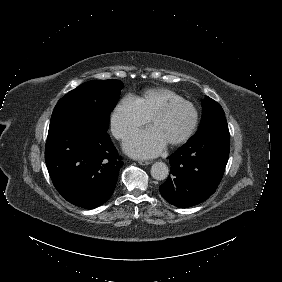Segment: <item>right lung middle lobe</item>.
Instances as JSON below:
<instances>
[{
	"instance_id": "1",
	"label": "right lung middle lobe",
	"mask_w": 282,
	"mask_h": 282,
	"mask_svg": "<svg viewBox=\"0 0 282 282\" xmlns=\"http://www.w3.org/2000/svg\"><path fill=\"white\" fill-rule=\"evenodd\" d=\"M122 88L123 83L119 80L83 83L58 101L50 125L67 117L80 115L107 131L110 113L117 104Z\"/></svg>"
}]
</instances>
